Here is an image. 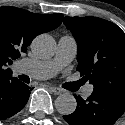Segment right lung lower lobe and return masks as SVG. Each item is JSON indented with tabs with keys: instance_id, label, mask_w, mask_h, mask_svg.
<instances>
[{
	"instance_id": "1",
	"label": "right lung lower lobe",
	"mask_w": 125,
	"mask_h": 125,
	"mask_svg": "<svg viewBox=\"0 0 125 125\" xmlns=\"http://www.w3.org/2000/svg\"><path fill=\"white\" fill-rule=\"evenodd\" d=\"M32 89L12 75L0 79V120L22 110Z\"/></svg>"
}]
</instances>
